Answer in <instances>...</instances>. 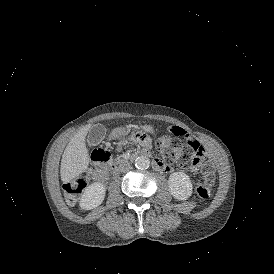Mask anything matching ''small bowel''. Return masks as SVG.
Here are the masks:
<instances>
[{"mask_svg":"<svg viewBox=\"0 0 274 274\" xmlns=\"http://www.w3.org/2000/svg\"><path fill=\"white\" fill-rule=\"evenodd\" d=\"M169 132H177L178 135L183 136L184 139H189V143L193 144L196 148V152L194 154V159L192 160V170L194 173H199V161L202 158L203 154V144L199 139L195 137H190V133L187 132L183 127H179L178 125H169ZM140 143L143 147L151 148L150 140L146 137L140 138ZM102 160H97L96 162L89 168L87 172V177L90 181L101 184L100 179L103 178L109 171V167H105L101 164Z\"/></svg>","mask_w":274,"mask_h":274,"instance_id":"c3829d8e","label":"small bowel"}]
</instances>
